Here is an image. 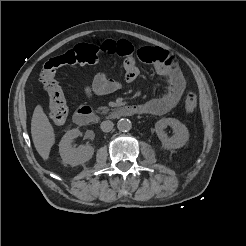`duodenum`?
Segmentation results:
<instances>
[{
	"label": "duodenum",
	"instance_id": "duodenum-1",
	"mask_svg": "<svg viewBox=\"0 0 246 246\" xmlns=\"http://www.w3.org/2000/svg\"><path fill=\"white\" fill-rule=\"evenodd\" d=\"M142 109L140 105H126L118 108L112 114L113 117L132 116L135 114H141ZM97 115L88 106L79 107L74 115L73 120L79 126H87L97 121Z\"/></svg>",
	"mask_w": 246,
	"mask_h": 246
}]
</instances>
